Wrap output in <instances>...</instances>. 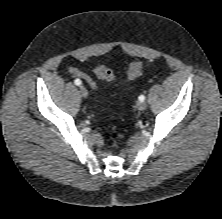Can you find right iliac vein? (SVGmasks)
<instances>
[{
  "instance_id": "right-iliac-vein-1",
  "label": "right iliac vein",
  "mask_w": 222,
  "mask_h": 219,
  "mask_svg": "<svg viewBox=\"0 0 222 219\" xmlns=\"http://www.w3.org/2000/svg\"><path fill=\"white\" fill-rule=\"evenodd\" d=\"M79 91H80V94L82 95V97L88 96V91H87L86 87H84L83 85H81L79 87Z\"/></svg>"
}]
</instances>
